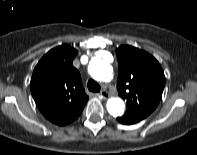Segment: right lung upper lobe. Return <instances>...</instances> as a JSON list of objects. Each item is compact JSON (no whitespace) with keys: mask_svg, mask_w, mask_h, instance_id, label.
Listing matches in <instances>:
<instances>
[{"mask_svg":"<svg viewBox=\"0 0 197 155\" xmlns=\"http://www.w3.org/2000/svg\"><path fill=\"white\" fill-rule=\"evenodd\" d=\"M77 53L68 45L50 50L36 65L30 82L41 113L60 126L76 120L88 101L80 73L72 65Z\"/></svg>","mask_w":197,"mask_h":155,"instance_id":"1","label":"right lung upper lobe"}]
</instances>
